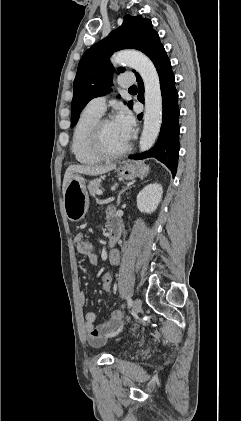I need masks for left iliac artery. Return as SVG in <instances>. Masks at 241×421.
<instances>
[{"label":"left iliac artery","mask_w":241,"mask_h":421,"mask_svg":"<svg viewBox=\"0 0 241 421\" xmlns=\"http://www.w3.org/2000/svg\"><path fill=\"white\" fill-rule=\"evenodd\" d=\"M128 307L132 306V300L130 298H127ZM122 326L117 330V332L113 333L112 336H114L116 333L121 331Z\"/></svg>","instance_id":"obj_1"}]
</instances>
